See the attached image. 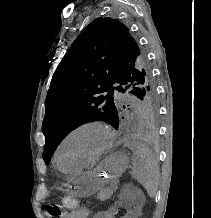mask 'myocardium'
Returning a JSON list of instances; mask_svg holds the SVG:
<instances>
[{
    "instance_id": "f54148a6",
    "label": "myocardium",
    "mask_w": 211,
    "mask_h": 218,
    "mask_svg": "<svg viewBox=\"0 0 211 218\" xmlns=\"http://www.w3.org/2000/svg\"><path fill=\"white\" fill-rule=\"evenodd\" d=\"M86 129H94L100 131L105 137V143L101 147V149L89 161L80 164L78 166L79 168H85L94 164L97 160H99L103 155H105L111 149L115 139V134L112 128L107 123L100 120L85 121L73 127L70 131H68L59 142L55 151V159L59 165H60V154L64 144L71 137Z\"/></svg>"
}]
</instances>
